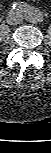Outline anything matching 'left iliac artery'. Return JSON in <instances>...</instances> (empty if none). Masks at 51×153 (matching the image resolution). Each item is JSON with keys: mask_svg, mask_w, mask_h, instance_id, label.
<instances>
[{"mask_svg": "<svg viewBox=\"0 0 51 153\" xmlns=\"http://www.w3.org/2000/svg\"><path fill=\"white\" fill-rule=\"evenodd\" d=\"M28 14L30 16H35L36 15V11L33 9V7H31L29 10H28Z\"/></svg>", "mask_w": 51, "mask_h": 153, "instance_id": "44dca946", "label": "left iliac artery"}]
</instances>
